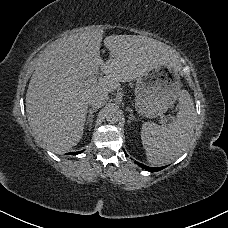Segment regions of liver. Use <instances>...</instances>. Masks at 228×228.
<instances>
[{
  "mask_svg": "<svg viewBox=\"0 0 228 228\" xmlns=\"http://www.w3.org/2000/svg\"><path fill=\"white\" fill-rule=\"evenodd\" d=\"M108 60L104 64L100 47ZM178 54L169 45L140 35H109L95 29L56 42L35 65L26 92V116L35 142L55 153H66L84 135L91 92L113 93L122 83L153 68L180 70ZM101 68L104 77L85 79Z\"/></svg>",
  "mask_w": 228,
  "mask_h": 228,
  "instance_id": "1",
  "label": "liver"
}]
</instances>
